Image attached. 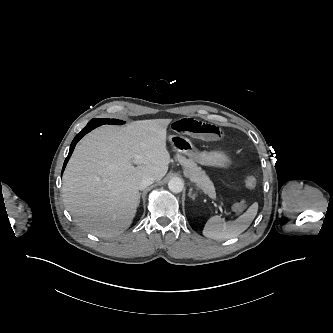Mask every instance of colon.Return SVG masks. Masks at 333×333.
<instances>
[{
    "label": "colon",
    "instance_id": "colon-1",
    "mask_svg": "<svg viewBox=\"0 0 333 333\" xmlns=\"http://www.w3.org/2000/svg\"><path fill=\"white\" fill-rule=\"evenodd\" d=\"M244 185L248 189H254L257 186V180L252 176L246 177L244 180ZM246 206L247 204L244 200L237 201L233 205V211L236 214H241L246 209Z\"/></svg>",
    "mask_w": 333,
    "mask_h": 333
}]
</instances>
